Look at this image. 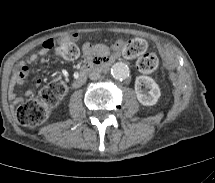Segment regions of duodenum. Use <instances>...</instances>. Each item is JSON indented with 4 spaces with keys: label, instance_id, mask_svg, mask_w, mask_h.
<instances>
[{
    "label": "duodenum",
    "instance_id": "duodenum-1",
    "mask_svg": "<svg viewBox=\"0 0 215 183\" xmlns=\"http://www.w3.org/2000/svg\"><path fill=\"white\" fill-rule=\"evenodd\" d=\"M110 63H111V59L108 57H106V58L105 57H99V58H95V59L88 61L80 69L77 77L72 82L71 86L73 88L80 86L84 82V80L86 79V76L90 72L108 67L110 65Z\"/></svg>",
    "mask_w": 215,
    "mask_h": 183
}]
</instances>
